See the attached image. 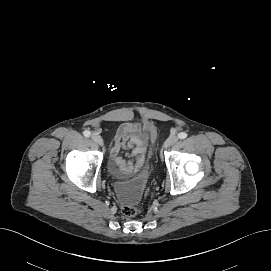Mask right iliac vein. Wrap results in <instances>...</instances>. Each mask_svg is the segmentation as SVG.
Returning a JSON list of instances; mask_svg holds the SVG:
<instances>
[{
	"mask_svg": "<svg viewBox=\"0 0 271 271\" xmlns=\"http://www.w3.org/2000/svg\"><path fill=\"white\" fill-rule=\"evenodd\" d=\"M91 139L100 146H102L104 143L102 137L98 134H92Z\"/></svg>",
	"mask_w": 271,
	"mask_h": 271,
	"instance_id": "right-iliac-vein-1",
	"label": "right iliac vein"
}]
</instances>
